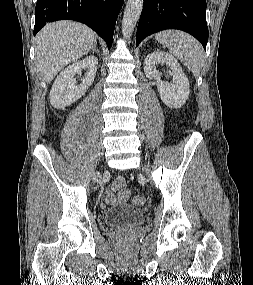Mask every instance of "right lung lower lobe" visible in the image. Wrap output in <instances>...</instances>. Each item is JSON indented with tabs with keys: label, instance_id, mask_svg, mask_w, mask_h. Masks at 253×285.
Returning <instances> with one entry per match:
<instances>
[{
	"label": "right lung lower lobe",
	"instance_id": "1",
	"mask_svg": "<svg viewBox=\"0 0 253 285\" xmlns=\"http://www.w3.org/2000/svg\"><path fill=\"white\" fill-rule=\"evenodd\" d=\"M124 0H37L33 34L47 23L76 20L92 28L110 49L115 23Z\"/></svg>",
	"mask_w": 253,
	"mask_h": 285
}]
</instances>
